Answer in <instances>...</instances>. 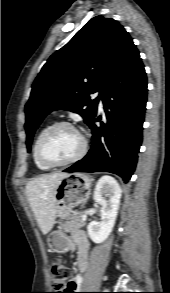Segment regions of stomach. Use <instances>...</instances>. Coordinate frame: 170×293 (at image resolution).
Listing matches in <instances>:
<instances>
[{"label":"stomach","instance_id":"obj_1","mask_svg":"<svg viewBox=\"0 0 170 293\" xmlns=\"http://www.w3.org/2000/svg\"><path fill=\"white\" fill-rule=\"evenodd\" d=\"M91 176L82 173L67 174L55 190L56 217L68 219L75 206L84 204L90 196ZM49 245L57 253L69 248V239L62 231H54L49 235Z\"/></svg>","mask_w":170,"mask_h":293}]
</instances>
